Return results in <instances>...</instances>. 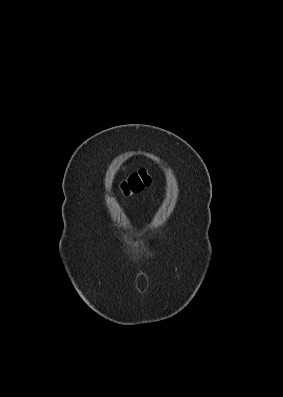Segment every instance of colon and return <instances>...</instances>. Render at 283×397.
<instances>
[{
  "instance_id": "5ec220e1",
  "label": "colon",
  "mask_w": 283,
  "mask_h": 397,
  "mask_svg": "<svg viewBox=\"0 0 283 397\" xmlns=\"http://www.w3.org/2000/svg\"><path fill=\"white\" fill-rule=\"evenodd\" d=\"M152 183V175L146 169H139L126 178L120 186L123 196H131L143 191Z\"/></svg>"
}]
</instances>
